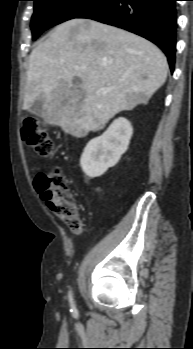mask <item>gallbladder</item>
<instances>
[{
  "label": "gallbladder",
  "mask_w": 193,
  "mask_h": 349,
  "mask_svg": "<svg viewBox=\"0 0 193 349\" xmlns=\"http://www.w3.org/2000/svg\"><path fill=\"white\" fill-rule=\"evenodd\" d=\"M43 110V102L41 100H36L34 103L30 106L29 112L34 115H41Z\"/></svg>",
  "instance_id": "obj_1"
}]
</instances>
